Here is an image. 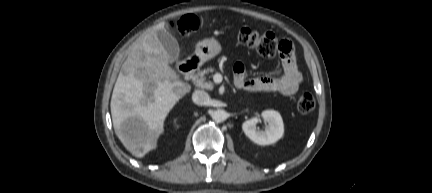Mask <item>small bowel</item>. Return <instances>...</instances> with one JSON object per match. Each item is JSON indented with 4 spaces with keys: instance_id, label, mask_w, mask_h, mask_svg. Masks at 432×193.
Masks as SVG:
<instances>
[{
    "instance_id": "c3829d8e",
    "label": "small bowel",
    "mask_w": 432,
    "mask_h": 193,
    "mask_svg": "<svg viewBox=\"0 0 432 193\" xmlns=\"http://www.w3.org/2000/svg\"><path fill=\"white\" fill-rule=\"evenodd\" d=\"M283 72L277 76H260L247 78L243 63L237 62L234 67L235 84L248 91L278 92L293 95L297 92L303 77L298 69L293 49L288 55H281Z\"/></svg>"
}]
</instances>
